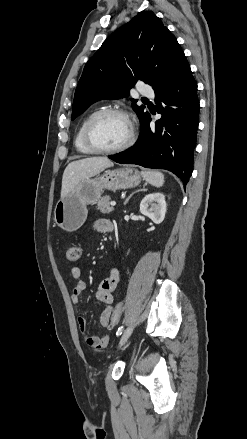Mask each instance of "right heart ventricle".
<instances>
[{
    "mask_svg": "<svg viewBox=\"0 0 247 439\" xmlns=\"http://www.w3.org/2000/svg\"><path fill=\"white\" fill-rule=\"evenodd\" d=\"M97 111H98L97 109H94V110L90 111L89 113H87V114L83 117V119L81 120V122H80V124H79V126H78V128H77V130H76V133H75V136H74V146H75V149H76L78 152L82 153V154H92V153H93L92 151H90V150L87 148V146L85 145V143H84V141H83V131H84V127H85L87 121H88V120L91 118V116L94 115Z\"/></svg>",
    "mask_w": 247,
    "mask_h": 439,
    "instance_id": "1",
    "label": "right heart ventricle"
}]
</instances>
